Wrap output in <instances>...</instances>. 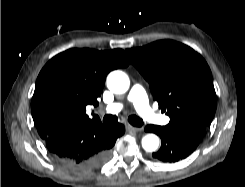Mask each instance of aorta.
Here are the masks:
<instances>
[{
  "label": "aorta",
  "mask_w": 245,
  "mask_h": 187,
  "mask_svg": "<svg viewBox=\"0 0 245 187\" xmlns=\"http://www.w3.org/2000/svg\"><path fill=\"white\" fill-rule=\"evenodd\" d=\"M109 90L116 94L125 93L130 86L129 77L126 73L116 70L107 77ZM159 146V138L154 134H147L142 138V147L147 152L155 151Z\"/></svg>",
  "instance_id": "762f6f07"
}]
</instances>
